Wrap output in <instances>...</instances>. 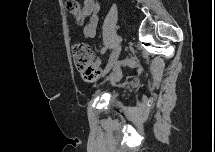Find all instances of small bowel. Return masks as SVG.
Returning <instances> with one entry per match:
<instances>
[{
    "mask_svg": "<svg viewBox=\"0 0 215 152\" xmlns=\"http://www.w3.org/2000/svg\"><path fill=\"white\" fill-rule=\"evenodd\" d=\"M99 4L95 0H85L83 12L89 17V22L83 28V35L87 39H92L96 35V30L99 22ZM99 66L101 62L99 61ZM112 81H120L122 79V67L119 65L116 67L115 72L113 75L109 77ZM89 80V81H93ZM138 79L135 77H130L126 82V85L130 89H134L138 86Z\"/></svg>",
    "mask_w": 215,
    "mask_h": 152,
    "instance_id": "1",
    "label": "small bowel"
}]
</instances>
